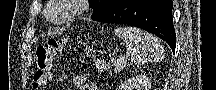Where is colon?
Here are the masks:
<instances>
[{
    "label": "colon",
    "mask_w": 216,
    "mask_h": 90,
    "mask_svg": "<svg viewBox=\"0 0 216 90\" xmlns=\"http://www.w3.org/2000/svg\"><path fill=\"white\" fill-rule=\"evenodd\" d=\"M63 45V40L51 39L36 48V69L32 82L34 89H44L48 85L52 76L54 58Z\"/></svg>",
    "instance_id": "5ec220e1"
}]
</instances>
